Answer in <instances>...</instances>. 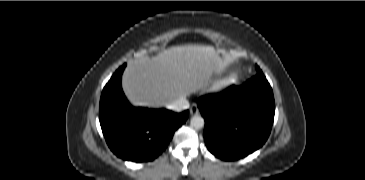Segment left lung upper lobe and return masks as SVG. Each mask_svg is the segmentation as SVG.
Here are the masks:
<instances>
[{
	"label": "left lung upper lobe",
	"instance_id": "left-lung-upper-lobe-1",
	"mask_svg": "<svg viewBox=\"0 0 365 180\" xmlns=\"http://www.w3.org/2000/svg\"><path fill=\"white\" fill-rule=\"evenodd\" d=\"M257 74H263L258 66H256Z\"/></svg>",
	"mask_w": 365,
	"mask_h": 180
}]
</instances>
